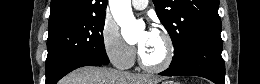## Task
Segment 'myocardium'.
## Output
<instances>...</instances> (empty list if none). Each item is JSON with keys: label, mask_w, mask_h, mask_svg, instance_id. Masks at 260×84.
Here are the masks:
<instances>
[{"label": "myocardium", "mask_w": 260, "mask_h": 84, "mask_svg": "<svg viewBox=\"0 0 260 84\" xmlns=\"http://www.w3.org/2000/svg\"><path fill=\"white\" fill-rule=\"evenodd\" d=\"M157 34H159L161 36L162 40L164 41V43L166 45V56L162 63H160L158 65L147 64L143 60L139 49H137V57H138L139 66L144 71L151 72V73H160V72L166 71L172 65L174 56H175V45H174L171 35L166 30H162V29L158 30Z\"/></svg>", "instance_id": "obj_1"}]
</instances>
